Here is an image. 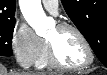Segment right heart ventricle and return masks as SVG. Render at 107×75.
<instances>
[{
    "mask_svg": "<svg viewBox=\"0 0 107 75\" xmlns=\"http://www.w3.org/2000/svg\"><path fill=\"white\" fill-rule=\"evenodd\" d=\"M35 65L39 69H44L50 66L48 61L47 45L45 42L43 51Z\"/></svg>",
    "mask_w": 107,
    "mask_h": 75,
    "instance_id": "obj_1",
    "label": "right heart ventricle"
}]
</instances>
